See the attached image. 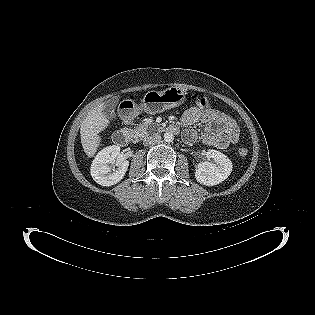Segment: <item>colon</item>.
Returning a JSON list of instances; mask_svg holds the SVG:
<instances>
[{"mask_svg": "<svg viewBox=\"0 0 315 315\" xmlns=\"http://www.w3.org/2000/svg\"><path fill=\"white\" fill-rule=\"evenodd\" d=\"M192 100L195 103V105L201 109L211 108L210 101L206 97H200L197 95H193ZM238 153L240 156L244 157L248 154V149L245 147H242L238 150Z\"/></svg>", "mask_w": 315, "mask_h": 315, "instance_id": "obj_1", "label": "colon"}]
</instances>
